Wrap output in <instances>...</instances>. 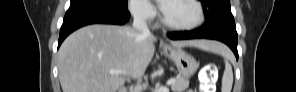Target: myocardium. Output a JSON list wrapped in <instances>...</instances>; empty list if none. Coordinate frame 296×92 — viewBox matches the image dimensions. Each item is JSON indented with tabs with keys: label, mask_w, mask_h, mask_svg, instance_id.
<instances>
[{
	"label": "myocardium",
	"mask_w": 296,
	"mask_h": 92,
	"mask_svg": "<svg viewBox=\"0 0 296 92\" xmlns=\"http://www.w3.org/2000/svg\"><path fill=\"white\" fill-rule=\"evenodd\" d=\"M185 1H189L195 6V8L197 10V20L194 23L189 24V25H176V24L170 23L166 19L165 14H163L161 20H162V24L166 28L171 29V30H176V31H190V30H194L202 25V23L205 20V12H204L202 4L197 0H185Z\"/></svg>",
	"instance_id": "1"
}]
</instances>
